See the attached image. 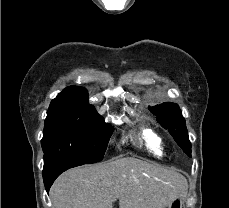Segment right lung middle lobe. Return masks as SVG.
<instances>
[{
    "instance_id": "right-lung-middle-lobe-1",
    "label": "right lung middle lobe",
    "mask_w": 229,
    "mask_h": 208,
    "mask_svg": "<svg viewBox=\"0 0 229 208\" xmlns=\"http://www.w3.org/2000/svg\"><path fill=\"white\" fill-rule=\"evenodd\" d=\"M113 130L101 119L71 109L49 107L41 140L43 171L64 162L101 161Z\"/></svg>"
}]
</instances>
